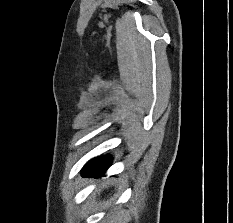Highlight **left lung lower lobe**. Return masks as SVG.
Here are the masks:
<instances>
[{
  "label": "left lung lower lobe",
  "mask_w": 233,
  "mask_h": 223,
  "mask_svg": "<svg viewBox=\"0 0 233 223\" xmlns=\"http://www.w3.org/2000/svg\"><path fill=\"white\" fill-rule=\"evenodd\" d=\"M112 163V157L105 155L103 157L92 160L82 169V176L99 177L103 176L105 171Z\"/></svg>",
  "instance_id": "1"
}]
</instances>
